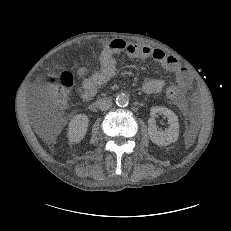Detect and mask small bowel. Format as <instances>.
Masks as SVG:
<instances>
[{"instance_id": "obj_1", "label": "small bowel", "mask_w": 231, "mask_h": 231, "mask_svg": "<svg viewBox=\"0 0 231 231\" xmlns=\"http://www.w3.org/2000/svg\"><path fill=\"white\" fill-rule=\"evenodd\" d=\"M125 53L134 59H152L165 70L172 72L176 76L178 87L186 90L191 82V73L173 56L165 53L161 49L152 48L148 45H139L125 39H113L106 43L99 57L100 68L91 76H86V67L77 68V74L80 78V97L88 101L97 93L98 88L108 83L117 73V56ZM164 87V81L158 78H147L142 91L145 94H155Z\"/></svg>"}]
</instances>
